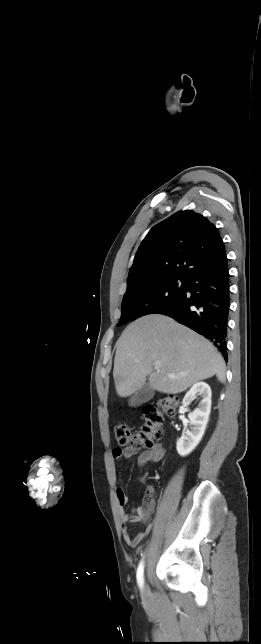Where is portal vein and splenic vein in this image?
Instances as JSON below:
<instances>
[{
	"label": "portal vein and splenic vein",
	"mask_w": 261,
	"mask_h": 644,
	"mask_svg": "<svg viewBox=\"0 0 261 644\" xmlns=\"http://www.w3.org/2000/svg\"><path fill=\"white\" fill-rule=\"evenodd\" d=\"M160 367H161V363H160V362H155V363H154V368H155V369H157V370H158ZM168 377H170V378H175V376H174V375H172V374H169V375H168Z\"/></svg>",
	"instance_id": "portal-vein-and-splenic-vein-1"
}]
</instances>
